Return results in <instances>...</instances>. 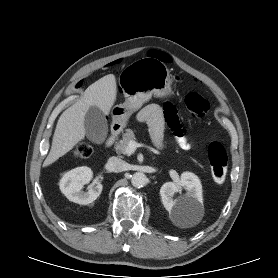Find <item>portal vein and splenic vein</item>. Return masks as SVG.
<instances>
[{
  "label": "portal vein and splenic vein",
  "instance_id": "portal-vein-and-splenic-vein-1",
  "mask_svg": "<svg viewBox=\"0 0 278 278\" xmlns=\"http://www.w3.org/2000/svg\"><path fill=\"white\" fill-rule=\"evenodd\" d=\"M137 147H138L137 142H135L134 140H131L127 145L126 153L129 155L134 153L136 151Z\"/></svg>",
  "mask_w": 278,
  "mask_h": 278
}]
</instances>
